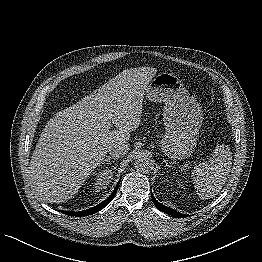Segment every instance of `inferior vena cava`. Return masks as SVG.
Wrapping results in <instances>:
<instances>
[{
    "label": "inferior vena cava",
    "instance_id": "602c4592",
    "mask_svg": "<svg viewBox=\"0 0 262 262\" xmlns=\"http://www.w3.org/2000/svg\"><path fill=\"white\" fill-rule=\"evenodd\" d=\"M129 149L130 146L127 142H117L109 147V154L112 157L119 158L125 156L128 153Z\"/></svg>",
    "mask_w": 262,
    "mask_h": 262
}]
</instances>
